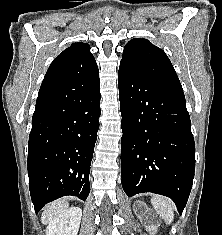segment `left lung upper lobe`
<instances>
[{
	"mask_svg": "<svg viewBox=\"0 0 222 235\" xmlns=\"http://www.w3.org/2000/svg\"><path fill=\"white\" fill-rule=\"evenodd\" d=\"M120 64L181 90L178 76L165 52L147 39L134 38L124 47Z\"/></svg>",
	"mask_w": 222,
	"mask_h": 235,
	"instance_id": "5c2ea615",
	"label": "left lung upper lobe"
}]
</instances>
